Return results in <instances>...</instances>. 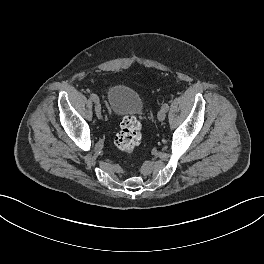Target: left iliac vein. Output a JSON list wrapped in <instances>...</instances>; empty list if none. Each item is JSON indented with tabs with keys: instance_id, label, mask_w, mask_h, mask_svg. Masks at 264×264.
<instances>
[{
	"instance_id": "obj_1",
	"label": "left iliac vein",
	"mask_w": 264,
	"mask_h": 264,
	"mask_svg": "<svg viewBox=\"0 0 264 264\" xmlns=\"http://www.w3.org/2000/svg\"><path fill=\"white\" fill-rule=\"evenodd\" d=\"M157 117H158V120H159L160 122L164 121V120H165V117H166V111H165L163 108H161V109L159 110V112H158Z\"/></svg>"
}]
</instances>
